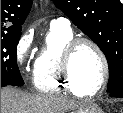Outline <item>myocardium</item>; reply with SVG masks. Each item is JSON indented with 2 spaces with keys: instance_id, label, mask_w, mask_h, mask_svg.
I'll return each mask as SVG.
<instances>
[{
  "instance_id": "myocardium-1",
  "label": "myocardium",
  "mask_w": 123,
  "mask_h": 113,
  "mask_svg": "<svg viewBox=\"0 0 123 113\" xmlns=\"http://www.w3.org/2000/svg\"><path fill=\"white\" fill-rule=\"evenodd\" d=\"M82 45L91 46L98 54L101 64H102V79L99 85L97 86V88L90 92H86L85 90L76 86V84L74 83L72 71H71L72 59L75 53L77 52V50ZM61 72L68 86L72 90L80 93L84 97H94V96L99 95L105 89L108 83V80H109L110 69H109V62L106 57V54L104 53L103 49L96 41H94L91 38H87V37H75V38H72L66 44L63 50V55H62V60H61Z\"/></svg>"
}]
</instances>
